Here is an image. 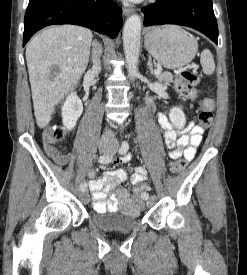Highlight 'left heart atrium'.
<instances>
[{"mask_svg": "<svg viewBox=\"0 0 247 275\" xmlns=\"http://www.w3.org/2000/svg\"><path fill=\"white\" fill-rule=\"evenodd\" d=\"M128 1H133V2H137V1H140V0H128Z\"/></svg>", "mask_w": 247, "mask_h": 275, "instance_id": "1", "label": "left heart atrium"}]
</instances>
